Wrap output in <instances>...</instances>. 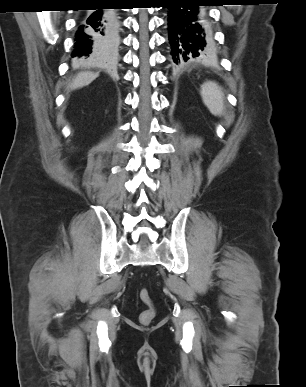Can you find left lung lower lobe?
<instances>
[{"label": "left lung lower lobe", "instance_id": "1", "mask_svg": "<svg viewBox=\"0 0 306 387\" xmlns=\"http://www.w3.org/2000/svg\"><path fill=\"white\" fill-rule=\"evenodd\" d=\"M168 8V38L173 64L186 67L200 61L209 52L212 38L203 6L210 0H166Z\"/></svg>", "mask_w": 306, "mask_h": 387}]
</instances>
